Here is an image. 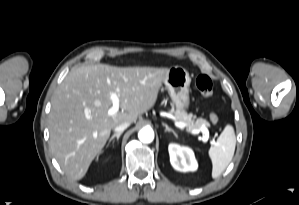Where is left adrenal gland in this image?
Here are the masks:
<instances>
[{"mask_svg":"<svg viewBox=\"0 0 299 205\" xmlns=\"http://www.w3.org/2000/svg\"><path fill=\"white\" fill-rule=\"evenodd\" d=\"M162 125L165 127L166 132H172L175 136L177 135L176 132L173 129H171L166 123H163Z\"/></svg>","mask_w":299,"mask_h":205,"instance_id":"1","label":"left adrenal gland"}]
</instances>
